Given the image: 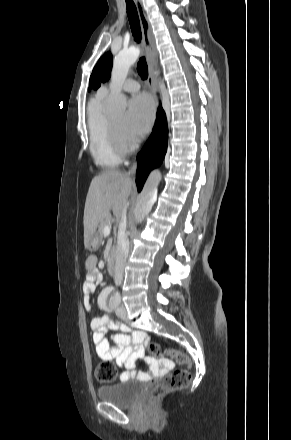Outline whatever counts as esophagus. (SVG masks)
I'll list each match as a JSON object with an SVG mask.
<instances>
[{"instance_id": "esophagus-1", "label": "esophagus", "mask_w": 291, "mask_h": 440, "mask_svg": "<svg viewBox=\"0 0 291 440\" xmlns=\"http://www.w3.org/2000/svg\"><path fill=\"white\" fill-rule=\"evenodd\" d=\"M138 12L140 15L141 25H142V32H143V39L144 44L146 47V50L148 52L149 56V75H148V84L151 87V90L154 94L156 107L158 106V97L156 94V82H155V72H154V61L157 57V51L153 42V34H152V28L149 23L147 14L144 10V7L140 1L136 2Z\"/></svg>"}]
</instances>
